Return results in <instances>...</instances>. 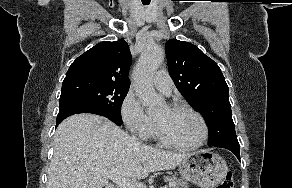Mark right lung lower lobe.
Instances as JSON below:
<instances>
[{
  "mask_svg": "<svg viewBox=\"0 0 292 188\" xmlns=\"http://www.w3.org/2000/svg\"><path fill=\"white\" fill-rule=\"evenodd\" d=\"M78 113L97 114V115H101V116L107 117L108 119H110L112 122H114L117 125H122L123 124L122 120L115 119V118L110 117L108 115H105V114H103L101 112H98V111H95L93 109H90V108H88L86 106L78 105V104H71V105H63V106L59 107V113L57 115L56 126L58 124H60L68 116L73 115V114H78Z\"/></svg>",
  "mask_w": 292,
  "mask_h": 188,
  "instance_id": "right-lung-lower-lobe-1",
  "label": "right lung lower lobe"
}]
</instances>
